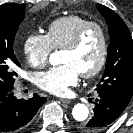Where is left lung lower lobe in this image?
<instances>
[{
  "mask_svg": "<svg viewBox=\"0 0 133 133\" xmlns=\"http://www.w3.org/2000/svg\"><path fill=\"white\" fill-rule=\"evenodd\" d=\"M93 117L82 125L84 133H101L125 110L129 101L110 92H98Z\"/></svg>",
  "mask_w": 133,
  "mask_h": 133,
  "instance_id": "obj_1",
  "label": "left lung lower lobe"
}]
</instances>
